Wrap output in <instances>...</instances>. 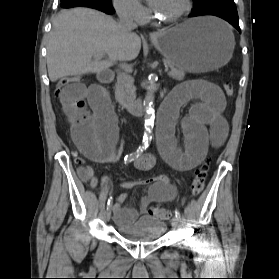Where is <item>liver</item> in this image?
Returning <instances> with one entry per match:
<instances>
[{
  "label": "liver",
  "instance_id": "1",
  "mask_svg": "<svg viewBox=\"0 0 279 279\" xmlns=\"http://www.w3.org/2000/svg\"><path fill=\"white\" fill-rule=\"evenodd\" d=\"M140 50V37L135 33L123 37L119 24L105 13L89 8L62 10L49 34V78L55 82L67 76L101 73L118 60L135 59ZM103 55L107 59L101 60Z\"/></svg>",
  "mask_w": 279,
  "mask_h": 279
}]
</instances>
